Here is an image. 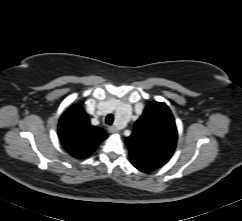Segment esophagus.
I'll return each instance as SVG.
<instances>
[{"label":"esophagus","mask_w":242,"mask_h":221,"mask_svg":"<svg viewBox=\"0 0 242 221\" xmlns=\"http://www.w3.org/2000/svg\"><path fill=\"white\" fill-rule=\"evenodd\" d=\"M108 130L110 133H113V134L118 133V129L115 126H110Z\"/></svg>","instance_id":"esophagus-1"}]
</instances>
